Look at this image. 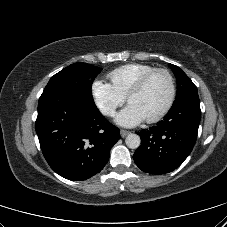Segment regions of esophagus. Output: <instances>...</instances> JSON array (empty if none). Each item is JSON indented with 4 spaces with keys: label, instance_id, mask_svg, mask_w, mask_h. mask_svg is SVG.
<instances>
[{
    "label": "esophagus",
    "instance_id": "34e87169",
    "mask_svg": "<svg viewBox=\"0 0 227 227\" xmlns=\"http://www.w3.org/2000/svg\"><path fill=\"white\" fill-rule=\"evenodd\" d=\"M129 133H130L129 131L123 130V129L120 131V134H121L122 138L126 137Z\"/></svg>",
    "mask_w": 227,
    "mask_h": 227
}]
</instances>
